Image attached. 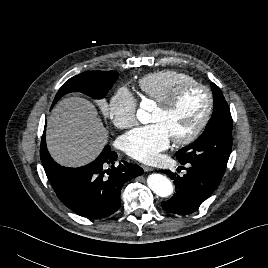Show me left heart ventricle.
Listing matches in <instances>:
<instances>
[{
  "label": "left heart ventricle",
  "instance_id": "1",
  "mask_svg": "<svg viewBox=\"0 0 268 268\" xmlns=\"http://www.w3.org/2000/svg\"><path fill=\"white\" fill-rule=\"evenodd\" d=\"M207 106L205 91L194 88L183 94L179 103L170 113L155 109L151 122L162 124L171 138L189 134L201 120Z\"/></svg>",
  "mask_w": 268,
  "mask_h": 268
}]
</instances>
